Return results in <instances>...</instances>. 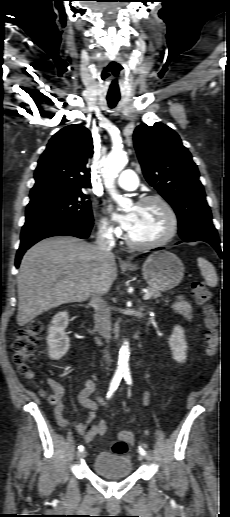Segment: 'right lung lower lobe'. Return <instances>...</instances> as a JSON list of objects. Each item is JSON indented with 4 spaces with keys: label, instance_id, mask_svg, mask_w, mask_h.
<instances>
[{
    "label": "right lung lower lobe",
    "instance_id": "right-lung-lower-lobe-1",
    "mask_svg": "<svg viewBox=\"0 0 230 517\" xmlns=\"http://www.w3.org/2000/svg\"><path fill=\"white\" fill-rule=\"evenodd\" d=\"M92 226L93 220L61 217H45L26 221L21 232V243L17 251L15 266L19 267L23 254L38 241L52 236L87 238Z\"/></svg>",
    "mask_w": 230,
    "mask_h": 517
}]
</instances>
